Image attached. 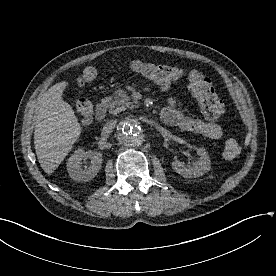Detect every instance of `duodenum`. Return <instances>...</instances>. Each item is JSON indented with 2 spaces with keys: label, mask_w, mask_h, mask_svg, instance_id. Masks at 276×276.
I'll return each instance as SVG.
<instances>
[{
  "label": "duodenum",
  "mask_w": 276,
  "mask_h": 276,
  "mask_svg": "<svg viewBox=\"0 0 276 276\" xmlns=\"http://www.w3.org/2000/svg\"><path fill=\"white\" fill-rule=\"evenodd\" d=\"M107 112V103L101 102L97 105L95 110V119L99 122L104 121Z\"/></svg>",
  "instance_id": "obj_1"
}]
</instances>
